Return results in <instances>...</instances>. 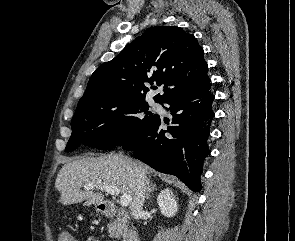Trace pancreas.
I'll use <instances>...</instances> for the list:
<instances>
[{
    "label": "pancreas",
    "instance_id": "1",
    "mask_svg": "<svg viewBox=\"0 0 295 241\" xmlns=\"http://www.w3.org/2000/svg\"><path fill=\"white\" fill-rule=\"evenodd\" d=\"M108 232L110 236L120 238L125 236L128 232L127 219L119 216L108 225Z\"/></svg>",
    "mask_w": 295,
    "mask_h": 241
}]
</instances>
